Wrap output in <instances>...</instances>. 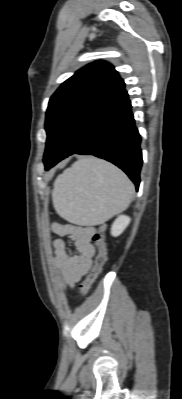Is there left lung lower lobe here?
I'll use <instances>...</instances> for the list:
<instances>
[{"label":"left lung lower lobe","instance_id":"left-lung-lower-lobe-1","mask_svg":"<svg viewBox=\"0 0 182 399\" xmlns=\"http://www.w3.org/2000/svg\"><path fill=\"white\" fill-rule=\"evenodd\" d=\"M134 122L131 102L123 89L84 121L62 153L45 164V169L72 154L94 155L121 168L138 190L142 152Z\"/></svg>","mask_w":182,"mask_h":399}]
</instances>
